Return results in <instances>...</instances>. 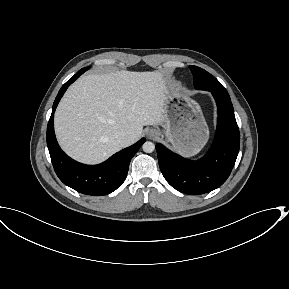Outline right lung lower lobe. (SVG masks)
Masks as SVG:
<instances>
[{
    "instance_id": "right-lung-lower-lobe-1",
    "label": "right lung lower lobe",
    "mask_w": 289,
    "mask_h": 289,
    "mask_svg": "<svg viewBox=\"0 0 289 289\" xmlns=\"http://www.w3.org/2000/svg\"><path fill=\"white\" fill-rule=\"evenodd\" d=\"M84 71L79 70L60 89L47 126V146L54 170L59 179L74 190L92 196L109 194L125 181L132 157L145 142L142 138L98 165H84L68 157L59 147L54 133V112L66 89Z\"/></svg>"
}]
</instances>
